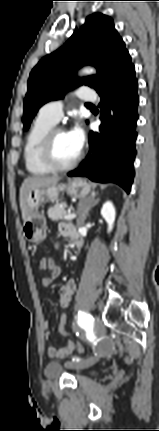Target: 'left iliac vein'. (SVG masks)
<instances>
[{"label": "left iliac vein", "mask_w": 159, "mask_h": 431, "mask_svg": "<svg viewBox=\"0 0 159 431\" xmlns=\"http://www.w3.org/2000/svg\"><path fill=\"white\" fill-rule=\"evenodd\" d=\"M96 324L99 327L101 326V322L99 319H96ZM99 334L100 335L104 334V330L100 328ZM98 360H99V356H91L85 359L84 361H82L81 363H78L76 366L79 368H87L95 364Z\"/></svg>", "instance_id": "4c4485c4"}]
</instances>
